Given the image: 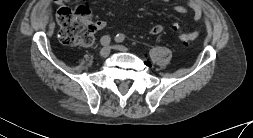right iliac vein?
<instances>
[{"label": "right iliac vein", "mask_w": 253, "mask_h": 138, "mask_svg": "<svg viewBox=\"0 0 253 138\" xmlns=\"http://www.w3.org/2000/svg\"><path fill=\"white\" fill-rule=\"evenodd\" d=\"M111 49L109 46H105L100 50V56L106 58L109 56Z\"/></svg>", "instance_id": "63e3f726"}]
</instances>
